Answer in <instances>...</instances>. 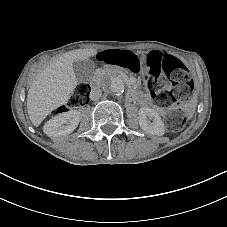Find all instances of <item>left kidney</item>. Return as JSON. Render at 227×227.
Segmentation results:
<instances>
[{
  "label": "left kidney",
  "instance_id": "left-kidney-1",
  "mask_svg": "<svg viewBox=\"0 0 227 227\" xmlns=\"http://www.w3.org/2000/svg\"><path fill=\"white\" fill-rule=\"evenodd\" d=\"M138 120L141 129L145 132L157 136L164 135V123L156 110L149 107L140 108Z\"/></svg>",
  "mask_w": 227,
  "mask_h": 227
}]
</instances>
